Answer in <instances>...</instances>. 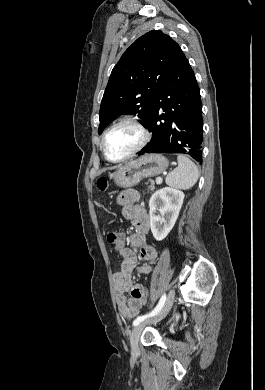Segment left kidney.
<instances>
[{
	"instance_id": "5707ae66",
	"label": "left kidney",
	"mask_w": 265,
	"mask_h": 390,
	"mask_svg": "<svg viewBox=\"0 0 265 390\" xmlns=\"http://www.w3.org/2000/svg\"><path fill=\"white\" fill-rule=\"evenodd\" d=\"M184 196L181 190L170 187H164L151 196L149 200L150 227L157 241L165 239L174 227Z\"/></svg>"
}]
</instances>
